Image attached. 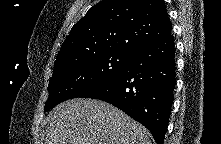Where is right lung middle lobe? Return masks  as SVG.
I'll return each instance as SVG.
<instances>
[{
	"label": "right lung middle lobe",
	"instance_id": "dd1d6c3e",
	"mask_svg": "<svg viewBox=\"0 0 221 144\" xmlns=\"http://www.w3.org/2000/svg\"><path fill=\"white\" fill-rule=\"evenodd\" d=\"M131 56L121 51H109L54 68L44 111L65 100L78 98L109 80L127 64Z\"/></svg>",
	"mask_w": 221,
	"mask_h": 144
}]
</instances>
